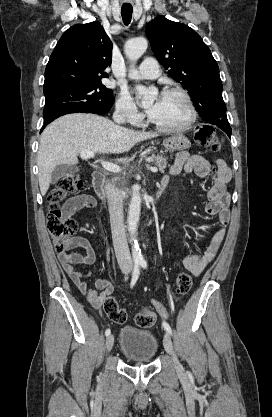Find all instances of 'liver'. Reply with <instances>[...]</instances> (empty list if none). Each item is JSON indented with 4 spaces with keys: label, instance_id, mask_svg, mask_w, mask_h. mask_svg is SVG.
Segmentation results:
<instances>
[{
    "label": "liver",
    "instance_id": "1",
    "mask_svg": "<svg viewBox=\"0 0 272 417\" xmlns=\"http://www.w3.org/2000/svg\"><path fill=\"white\" fill-rule=\"evenodd\" d=\"M156 133L134 131L93 114H69L48 125L40 139L37 164L40 191L45 195L57 165L78 163L82 151L125 153Z\"/></svg>",
    "mask_w": 272,
    "mask_h": 417
}]
</instances>
